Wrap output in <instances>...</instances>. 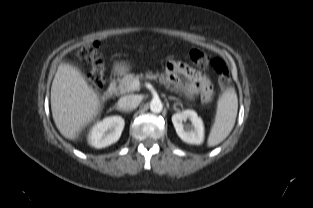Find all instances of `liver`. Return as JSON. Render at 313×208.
<instances>
[{"instance_id": "liver-1", "label": "liver", "mask_w": 313, "mask_h": 208, "mask_svg": "<svg viewBox=\"0 0 313 208\" xmlns=\"http://www.w3.org/2000/svg\"><path fill=\"white\" fill-rule=\"evenodd\" d=\"M51 110L59 132L74 140L100 111V100L77 69L61 64L51 87Z\"/></svg>"}]
</instances>
